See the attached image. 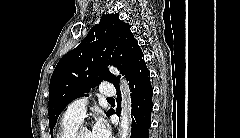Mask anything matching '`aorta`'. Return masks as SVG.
Here are the masks:
<instances>
[{"instance_id": "aorta-1", "label": "aorta", "mask_w": 240, "mask_h": 138, "mask_svg": "<svg viewBox=\"0 0 240 138\" xmlns=\"http://www.w3.org/2000/svg\"><path fill=\"white\" fill-rule=\"evenodd\" d=\"M111 71L118 75V72L111 68ZM122 89V112L119 123V138H129L131 134V98L130 90L124 84V80H120Z\"/></svg>"}]
</instances>
